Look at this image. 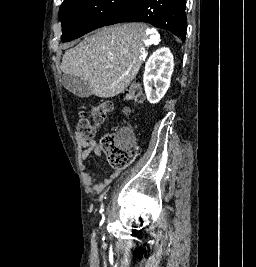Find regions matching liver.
I'll return each instance as SVG.
<instances>
[{"mask_svg":"<svg viewBox=\"0 0 256 267\" xmlns=\"http://www.w3.org/2000/svg\"><path fill=\"white\" fill-rule=\"evenodd\" d=\"M146 24L104 26L75 48L66 50L64 74L87 80L98 98H114L136 78L142 66Z\"/></svg>","mask_w":256,"mask_h":267,"instance_id":"1","label":"liver"}]
</instances>
